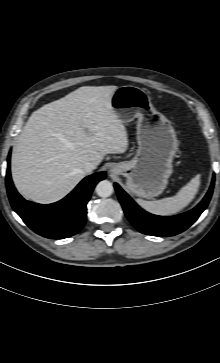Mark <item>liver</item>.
Wrapping results in <instances>:
<instances>
[{
    "label": "liver",
    "instance_id": "6515ba94",
    "mask_svg": "<svg viewBox=\"0 0 220 363\" xmlns=\"http://www.w3.org/2000/svg\"><path fill=\"white\" fill-rule=\"evenodd\" d=\"M117 86H84L34 111L14 146L13 182L22 196L38 203L64 198L96 167L104 154L128 148L127 131L111 106Z\"/></svg>",
    "mask_w": 220,
    "mask_h": 363
}]
</instances>
